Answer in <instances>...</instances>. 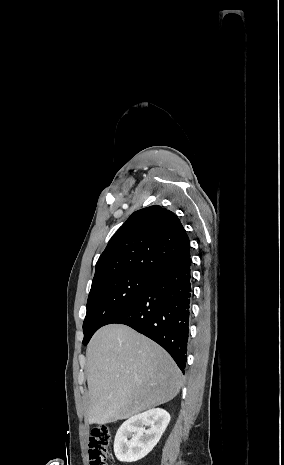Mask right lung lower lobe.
Returning <instances> with one entry per match:
<instances>
[{
  "instance_id": "1",
  "label": "right lung lower lobe",
  "mask_w": 284,
  "mask_h": 465,
  "mask_svg": "<svg viewBox=\"0 0 284 465\" xmlns=\"http://www.w3.org/2000/svg\"><path fill=\"white\" fill-rule=\"evenodd\" d=\"M190 253L156 274L106 323L130 326L162 346L185 372L192 301Z\"/></svg>"
}]
</instances>
